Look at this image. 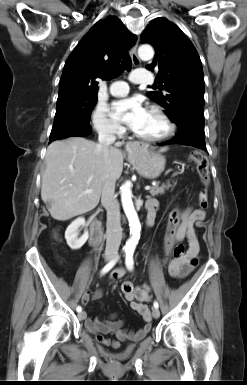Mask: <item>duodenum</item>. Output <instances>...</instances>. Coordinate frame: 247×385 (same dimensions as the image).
Here are the masks:
<instances>
[{"label":"duodenum","instance_id":"duodenum-1","mask_svg":"<svg viewBox=\"0 0 247 385\" xmlns=\"http://www.w3.org/2000/svg\"><path fill=\"white\" fill-rule=\"evenodd\" d=\"M155 222V211H150L146 218V226L152 227ZM102 241V226L101 223L96 219H91L90 224V244L98 247Z\"/></svg>","mask_w":247,"mask_h":385}]
</instances>
